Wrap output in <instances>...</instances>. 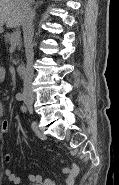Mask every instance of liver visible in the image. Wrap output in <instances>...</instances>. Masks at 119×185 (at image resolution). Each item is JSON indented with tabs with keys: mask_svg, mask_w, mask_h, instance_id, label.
<instances>
[{
	"mask_svg": "<svg viewBox=\"0 0 119 185\" xmlns=\"http://www.w3.org/2000/svg\"><path fill=\"white\" fill-rule=\"evenodd\" d=\"M29 3L31 0H28ZM25 16L23 0H0V27L5 23L8 28L22 25Z\"/></svg>",
	"mask_w": 119,
	"mask_h": 185,
	"instance_id": "6515ba94",
	"label": "liver"
}]
</instances>
